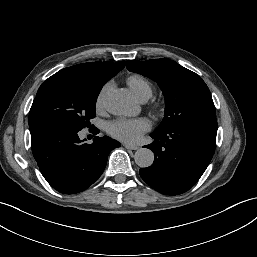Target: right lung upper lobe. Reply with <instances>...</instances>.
Instances as JSON below:
<instances>
[{
	"label": "right lung upper lobe",
	"mask_w": 257,
	"mask_h": 257,
	"mask_svg": "<svg viewBox=\"0 0 257 257\" xmlns=\"http://www.w3.org/2000/svg\"><path fill=\"white\" fill-rule=\"evenodd\" d=\"M125 61L112 62H89L78 64L64 70L80 75L94 83H106L125 66Z\"/></svg>",
	"instance_id": "right-lung-upper-lobe-1"
}]
</instances>
